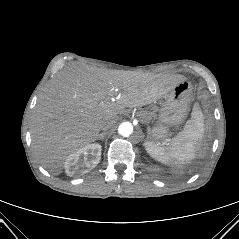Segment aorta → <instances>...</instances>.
<instances>
[{
    "label": "aorta",
    "instance_id": "obj_1",
    "mask_svg": "<svg viewBox=\"0 0 239 239\" xmlns=\"http://www.w3.org/2000/svg\"><path fill=\"white\" fill-rule=\"evenodd\" d=\"M133 132V125L130 122H123L118 127V133L124 137H128Z\"/></svg>",
    "mask_w": 239,
    "mask_h": 239
}]
</instances>
